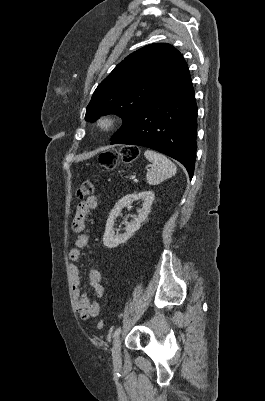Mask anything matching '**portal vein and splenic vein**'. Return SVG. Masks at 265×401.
Wrapping results in <instances>:
<instances>
[{"label": "portal vein and splenic vein", "mask_w": 265, "mask_h": 401, "mask_svg": "<svg viewBox=\"0 0 265 401\" xmlns=\"http://www.w3.org/2000/svg\"><path fill=\"white\" fill-rule=\"evenodd\" d=\"M134 178H136V175L130 174V175L127 177V180H128V181H133Z\"/></svg>", "instance_id": "18ae733b"}]
</instances>
